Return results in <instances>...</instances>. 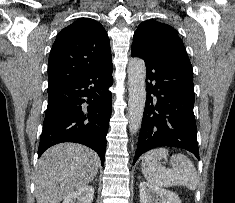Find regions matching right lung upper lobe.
Wrapping results in <instances>:
<instances>
[{"mask_svg": "<svg viewBox=\"0 0 235 203\" xmlns=\"http://www.w3.org/2000/svg\"><path fill=\"white\" fill-rule=\"evenodd\" d=\"M111 60L104 27L93 19H80L56 37L48 62V88H56Z\"/></svg>", "mask_w": 235, "mask_h": 203, "instance_id": "right-lung-upper-lobe-1", "label": "right lung upper lobe"}]
</instances>
